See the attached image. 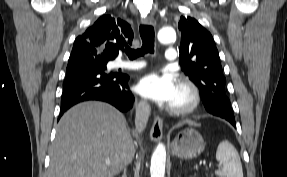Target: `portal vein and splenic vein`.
<instances>
[{
    "label": "portal vein and splenic vein",
    "instance_id": "portal-vein-and-splenic-vein-1",
    "mask_svg": "<svg viewBox=\"0 0 287 177\" xmlns=\"http://www.w3.org/2000/svg\"><path fill=\"white\" fill-rule=\"evenodd\" d=\"M106 164H110V161H106ZM212 165L210 164L209 167H211ZM218 167H220V165H217Z\"/></svg>",
    "mask_w": 287,
    "mask_h": 177
}]
</instances>
